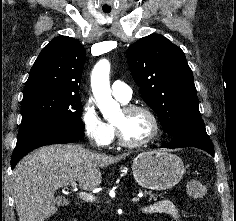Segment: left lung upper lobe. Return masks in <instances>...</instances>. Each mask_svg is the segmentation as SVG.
<instances>
[{"mask_svg":"<svg viewBox=\"0 0 236 221\" xmlns=\"http://www.w3.org/2000/svg\"><path fill=\"white\" fill-rule=\"evenodd\" d=\"M127 60L144 101L158 114L167 134L204 127L193 73L181 48L151 34L128 48Z\"/></svg>","mask_w":236,"mask_h":221,"instance_id":"1","label":"left lung upper lobe"}]
</instances>
